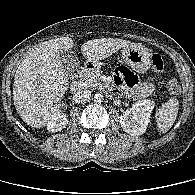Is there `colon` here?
<instances>
[{"label":"colon","instance_id":"5ec220e1","mask_svg":"<svg viewBox=\"0 0 195 195\" xmlns=\"http://www.w3.org/2000/svg\"><path fill=\"white\" fill-rule=\"evenodd\" d=\"M151 68L154 73H161L164 69V61L161 55L153 54L151 57ZM167 88L170 94L179 95L181 92V87L179 82L175 78H171L167 82Z\"/></svg>","mask_w":195,"mask_h":195}]
</instances>
